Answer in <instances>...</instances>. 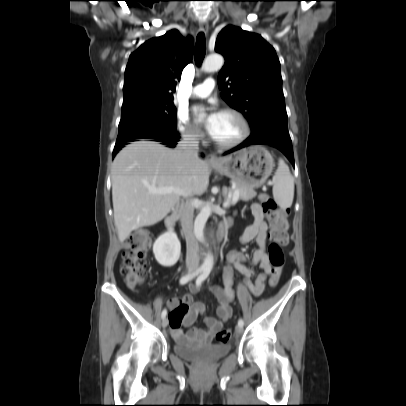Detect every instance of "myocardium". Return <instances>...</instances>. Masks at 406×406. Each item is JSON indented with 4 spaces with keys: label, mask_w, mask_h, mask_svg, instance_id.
Here are the masks:
<instances>
[{
    "label": "myocardium",
    "mask_w": 406,
    "mask_h": 406,
    "mask_svg": "<svg viewBox=\"0 0 406 406\" xmlns=\"http://www.w3.org/2000/svg\"><path fill=\"white\" fill-rule=\"evenodd\" d=\"M220 113L231 114V115L235 116L237 118V120L239 121V123L241 124L242 132L238 138H236L235 140H233L231 142H221V141L216 140L213 136H211L212 141L218 147L224 148V149L233 148V147H236V146L240 145L241 143H243L250 135V125H249L247 119L245 118V116L237 109L231 108V107L223 108L220 111Z\"/></svg>",
    "instance_id": "f54148a6"
}]
</instances>
